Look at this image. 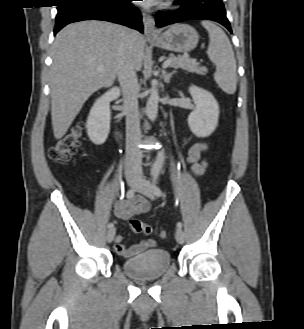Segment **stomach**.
Listing matches in <instances>:
<instances>
[{
    "label": "stomach",
    "mask_w": 304,
    "mask_h": 329,
    "mask_svg": "<svg viewBox=\"0 0 304 329\" xmlns=\"http://www.w3.org/2000/svg\"><path fill=\"white\" fill-rule=\"evenodd\" d=\"M151 41L162 49L173 52H189L197 46L199 35L190 25L174 24Z\"/></svg>",
    "instance_id": "obj_1"
}]
</instances>
